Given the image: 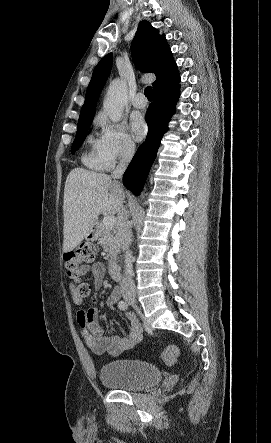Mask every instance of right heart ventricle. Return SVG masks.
I'll return each mask as SVG.
<instances>
[{
	"instance_id": "1",
	"label": "right heart ventricle",
	"mask_w": 271,
	"mask_h": 443,
	"mask_svg": "<svg viewBox=\"0 0 271 443\" xmlns=\"http://www.w3.org/2000/svg\"><path fill=\"white\" fill-rule=\"evenodd\" d=\"M91 140V138H90ZM82 161L92 169L103 170L110 167L96 150V143L82 156Z\"/></svg>"
}]
</instances>
